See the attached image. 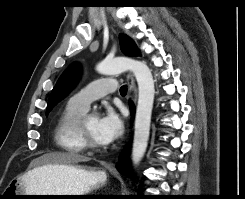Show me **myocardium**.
<instances>
[{"label":"myocardium","instance_id":"f54148a6","mask_svg":"<svg viewBox=\"0 0 245 199\" xmlns=\"http://www.w3.org/2000/svg\"><path fill=\"white\" fill-rule=\"evenodd\" d=\"M89 116L84 115L79 123H78V136L79 139L81 141V143L83 144L84 148L86 150H93V151H98L102 149V144H98L96 142H94L87 134L86 129H85V120L88 118Z\"/></svg>","mask_w":245,"mask_h":199}]
</instances>
